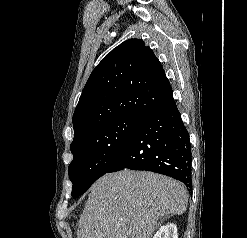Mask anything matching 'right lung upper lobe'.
I'll list each match as a JSON object with an SVG mask.
<instances>
[{
    "label": "right lung upper lobe",
    "mask_w": 247,
    "mask_h": 238,
    "mask_svg": "<svg viewBox=\"0 0 247 238\" xmlns=\"http://www.w3.org/2000/svg\"><path fill=\"white\" fill-rule=\"evenodd\" d=\"M173 99L171 85L153 51L129 39L92 71L73 115L74 139L119 117H144Z\"/></svg>",
    "instance_id": "right-lung-upper-lobe-1"
}]
</instances>
